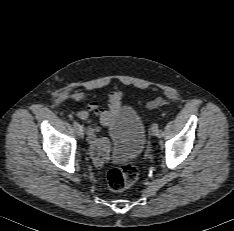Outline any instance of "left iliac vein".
<instances>
[{
	"instance_id": "4c4485c4",
	"label": "left iliac vein",
	"mask_w": 234,
	"mask_h": 231,
	"mask_svg": "<svg viewBox=\"0 0 234 231\" xmlns=\"http://www.w3.org/2000/svg\"><path fill=\"white\" fill-rule=\"evenodd\" d=\"M151 134L154 136H158V125L157 124H153V126L151 127Z\"/></svg>"
}]
</instances>
